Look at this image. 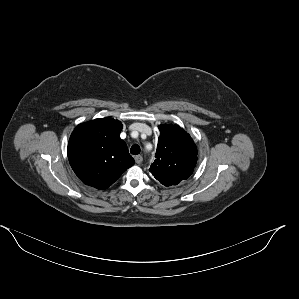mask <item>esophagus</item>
<instances>
[{
  "label": "esophagus",
  "mask_w": 299,
  "mask_h": 299,
  "mask_svg": "<svg viewBox=\"0 0 299 299\" xmlns=\"http://www.w3.org/2000/svg\"><path fill=\"white\" fill-rule=\"evenodd\" d=\"M134 159L137 164H140L143 161V157L141 155H136Z\"/></svg>",
  "instance_id": "1"
}]
</instances>
